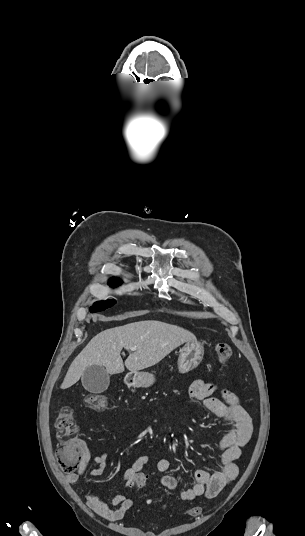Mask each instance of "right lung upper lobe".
<instances>
[{
  "label": "right lung upper lobe",
  "instance_id": "cb5924a9",
  "mask_svg": "<svg viewBox=\"0 0 305 536\" xmlns=\"http://www.w3.org/2000/svg\"><path fill=\"white\" fill-rule=\"evenodd\" d=\"M110 282H120V280L118 278H111Z\"/></svg>",
  "mask_w": 305,
  "mask_h": 536
}]
</instances>
